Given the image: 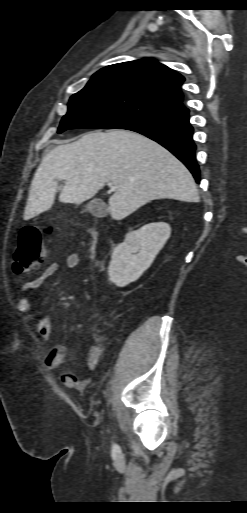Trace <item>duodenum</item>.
Segmentation results:
<instances>
[{
    "label": "duodenum",
    "mask_w": 247,
    "mask_h": 513,
    "mask_svg": "<svg viewBox=\"0 0 247 513\" xmlns=\"http://www.w3.org/2000/svg\"><path fill=\"white\" fill-rule=\"evenodd\" d=\"M96 235H97V232L95 230H92L91 231L92 240H95ZM91 253H94V248L91 249Z\"/></svg>",
    "instance_id": "1"
}]
</instances>
